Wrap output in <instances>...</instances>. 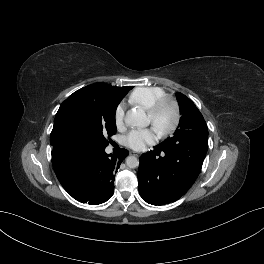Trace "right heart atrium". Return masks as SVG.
<instances>
[{
  "label": "right heart atrium",
  "mask_w": 264,
  "mask_h": 264,
  "mask_svg": "<svg viewBox=\"0 0 264 264\" xmlns=\"http://www.w3.org/2000/svg\"><path fill=\"white\" fill-rule=\"evenodd\" d=\"M124 115H125L124 107L122 105H119L114 113V122L118 128H122L124 125Z\"/></svg>",
  "instance_id": "1"
}]
</instances>
